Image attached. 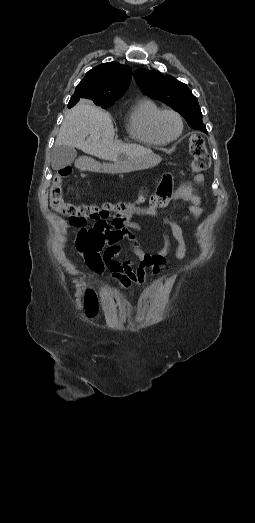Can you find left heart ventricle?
<instances>
[{
  "instance_id": "left-heart-ventricle-1",
  "label": "left heart ventricle",
  "mask_w": 255,
  "mask_h": 523,
  "mask_svg": "<svg viewBox=\"0 0 255 523\" xmlns=\"http://www.w3.org/2000/svg\"><path fill=\"white\" fill-rule=\"evenodd\" d=\"M160 130L165 138H173L179 131V123L172 114H165L159 123Z\"/></svg>"
}]
</instances>
